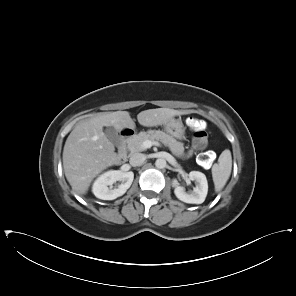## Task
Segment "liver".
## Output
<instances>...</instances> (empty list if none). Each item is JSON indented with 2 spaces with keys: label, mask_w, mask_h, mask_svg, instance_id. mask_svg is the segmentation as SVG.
I'll list each match as a JSON object with an SVG mask.
<instances>
[{
  "label": "liver",
  "mask_w": 296,
  "mask_h": 296,
  "mask_svg": "<svg viewBox=\"0 0 296 296\" xmlns=\"http://www.w3.org/2000/svg\"><path fill=\"white\" fill-rule=\"evenodd\" d=\"M190 111L157 108L141 111L138 122L145 127L165 125L175 116ZM104 126H113L121 132L135 129L127 111L104 113L83 121L69 134L63 150V168L66 179L76 194H86L92 180L106 168L119 164L122 155L115 152L114 143L103 132Z\"/></svg>",
  "instance_id": "liver-1"
}]
</instances>
